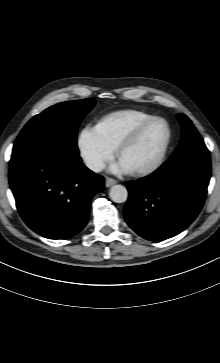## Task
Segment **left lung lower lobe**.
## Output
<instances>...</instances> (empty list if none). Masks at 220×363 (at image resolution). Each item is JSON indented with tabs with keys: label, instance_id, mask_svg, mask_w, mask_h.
I'll return each instance as SVG.
<instances>
[{
	"label": "left lung lower lobe",
	"instance_id": "1",
	"mask_svg": "<svg viewBox=\"0 0 220 363\" xmlns=\"http://www.w3.org/2000/svg\"><path fill=\"white\" fill-rule=\"evenodd\" d=\"M210 175L209 151L189 150L171 156L149 176L127 183L126 222L151 241L179 234L200 212Z\"/></svg>",
	"mask_w": 220,
	"mask_h": 363
}]
</instances>
